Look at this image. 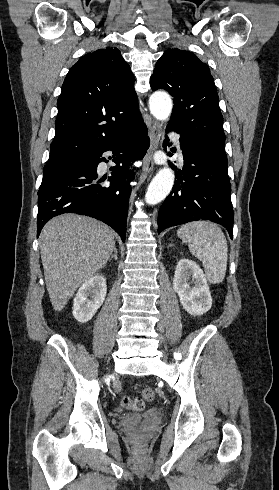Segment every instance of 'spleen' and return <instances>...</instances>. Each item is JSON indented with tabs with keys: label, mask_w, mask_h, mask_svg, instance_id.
<instances>
[{
	"label": "spleen",
	"mask_w": 279,
	"mask_h": 490,
	"mask_svg": "<svg viewBox=\"0 0 279 490\" xmlns=\"http://www.w3.org/2000/svg\"><path fill=\"white\" fill-rule=\"evenodd\" d=\"M183 242H188L193 256L201 260L210 284H221L226 276L228 248L226 238L217 224L190 222L177 232Z\"/></svg>",
	"instance_id": "obj_1"
}]
</instances>
